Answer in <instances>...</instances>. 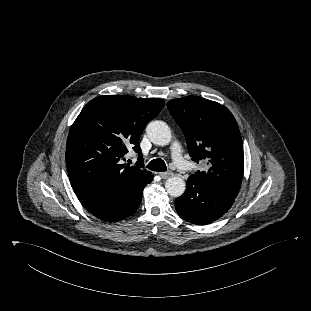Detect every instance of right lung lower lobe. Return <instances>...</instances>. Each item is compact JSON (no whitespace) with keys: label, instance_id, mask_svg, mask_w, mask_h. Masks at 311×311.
Wrapping results in <instances>:
<instances>
[{"label":"right lung lower lobe","instance_id":"98d812e1","mask_svg":"<svg viewBox=\"0 0 311 311\" xmlns=\"http://www.w3.org/2000/svg\"><path fill=\"white\" fill-rule=\"evenodd\" d=\"M152 180L153 177L149 182ZM147 184L129 197L109 196L104 194L76 195L84 208L98 219L105 222H117L136 212L142 200L143 189Z\"/></svg>","mask_w":311,"mask_h":311}]
</instances>
